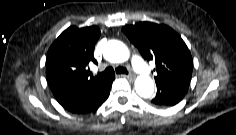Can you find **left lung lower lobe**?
Returning a JSON list of instances; mask_svg holds the SVG:
<instances>
[{
    "mask_svg": "<svg viewBox=\"0 0 236 135\" xmlns=\"http://www.w3.org/2000/svg\"><path fill=\"white\" fill-rule=\"evenodd\" d=\"M157 94L151 103L157 106H174L185 96L189 81L175 80L157 83Z\"/></svg>",
    "mask_w": 236,
    "mask_h": 135,
    "instance_id": "obj_1",
    "label": "left lung lower lobe"
}]
</instances>
